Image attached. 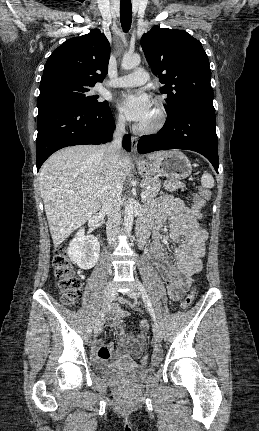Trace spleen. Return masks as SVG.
<instances>
[{
    "label": "spleen",
    "mask_w": 259,
    "mask_h": 431,
    "mask_svg": "<svg viewBox=\"0 0 259 431\" xmlns=\"http://www.w3.org/2000/svg\"><path fill=\"white\" fill-rule=\"evenodd\" d=\"M201 184L203 188L211 189L214 186V178L210 173H203L201 177Z\"/></svg>",
    "instance_id": "3e777b00"
}]
</instances>
